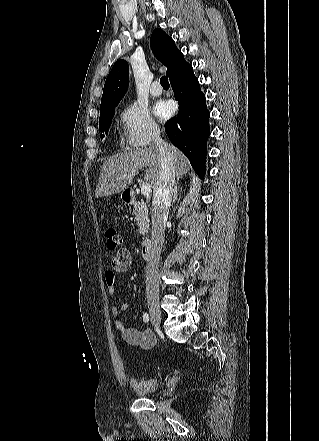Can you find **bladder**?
Returning <instances> with one entry per match:
<instances>
[{"instance_id": "31cf9c89", "label": "bladder", "mask_w": 319, "mask_h": 441, "mask_svg": "<svg viewBox=\"0 0 319 441\" xmlns=\"http://www.w3.org/2000/svg\"><path fill=\"white\" fill-rule=\"evenodd\" d=\"M130 384L134 392L141 397L152 396L159 388V380L155 377L146 379H131Z\"/></svg>"}]
</instances>
